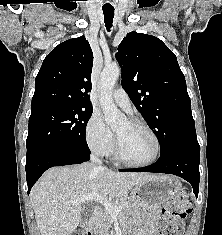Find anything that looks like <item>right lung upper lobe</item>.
<instances>
[{"label": "right lung upper lobe", "instance_id": "obj_1", "mask_svg": "<svg viewBox=\"0 0 222 235\" xmlns=\"http://www.w3.org/2000/svg\"><path fill=\"white\" fill-rule=\"evenodd\" d=\"M93 53L84 36L56 46L36 76L32 97L34 114L54 105L92 109L90 102Z\"/></svg>", "mask_w": 222, "mask_h": 235}]
</instances>
